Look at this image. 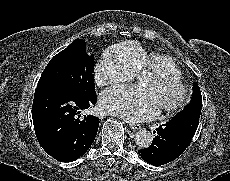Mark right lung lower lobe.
Wrapping results in <instances>:
<instances>
[{
  "instance_id": "98d812e1",
  "label": "right lung lower lobe",
  "mask_w": 230,
  "mask_h": 181,
  "mask_svg": "<svg viewBox=\"0 0 230 181\" xmlns=\"http://www.w3.org/2000/svg\"><path fill=\"white\" fill-rule=\"evenodd\" d=\"M97 102L95 96L71 91H42L34 95L32 119L39 144L61 162L84 155L95 140L99 118L81 116Z\"/></svg>"
}]
</instances>
